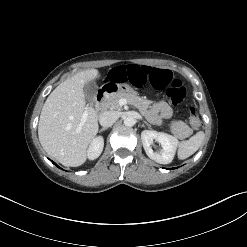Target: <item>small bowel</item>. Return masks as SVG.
<instances>
[{
  "mask_svg": "<svg viewBox=\"0 0 247 247\" xmlns=\"http://www.w3.org/2000/svg\"><path fill=\"white\" fill-rule=\"evenodd\" d=\"M155 111L158 112L163 118H169L172 115V109L166 102L158 103L155 107Z\"/></svg>",
  "mask_w": 247,
  "mask_h": 247,
  "instance_id": "c3829d8e",
  "label": "small bowel"
}]
</instances>
